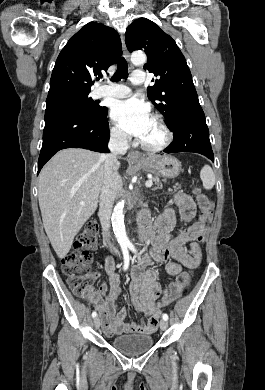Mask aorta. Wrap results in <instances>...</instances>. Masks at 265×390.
<instances>
[{
    "instance_id": "aorta-1",
    "label": "aorta",
    "mask_w": 265,
    "mask_h": 390,
    "mask_svg": "<svg viewBox=\"0 0 265 390\" xmlns=\"http://www.w3.org/2000/svg\"><path fill=\"white\" fill-rule=\"evenodd\" d=\"M146 61V55L142 52H135L131 55V62L134 65H142ZM124 200L119 201L112 214V227L115 234V237L118 243L122 247H129L131 242L126 234L125 224H124Z\"/></svg>"
}]
</instances>
